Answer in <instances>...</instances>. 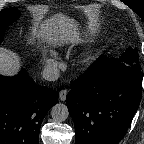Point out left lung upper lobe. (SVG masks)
Returning <instances> with one entry per match:
<instances>
[{
	"label": "left lung upper lobe",
	"instance_id": "obj_1",
	"mask_svg": "<svg viewBox=\"0 0 144 144\" xmlns=\"http://www.w3.org/2000/svg\"><path fill=\"white\" fill-rule=\"evenodd\" d=\"M108 68H113L114 66L123 64L128 67L141 68L139 64L138 52L136 49L129 47L125 53H123L120 58H110L108 61Z\"/></svg>",
	"mask_w": 144,
	"mask_h": 144
}]
</instances>
